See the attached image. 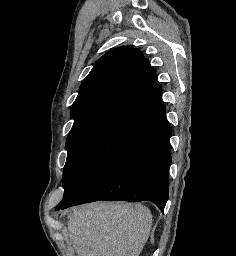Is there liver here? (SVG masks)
<instances>
[{
	"label": "liver",
	"mask_w": 236,
	"mask_h": 256,
	"mask_svg": "<svg viewBox=\"0 0 236 256\" xmlns=\"http://www.w3.org/2000/svg\"><path fill=\"white\" fill-rule=\"evenodd\" d=\"M67 218L77 256H140L152 226L149 208L123 202L84 204Z\"/></svg>",
	"instance_id": "6515ba94"
}]
</instances>
